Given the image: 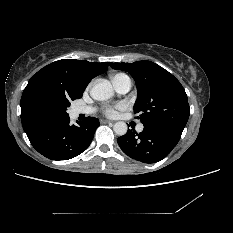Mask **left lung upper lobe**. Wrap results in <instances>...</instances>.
Segmentation results:
<instances>
[{"mask_svg":"<svg viewBox=\"0 0 233 233\" xmlns=\"http://www.w3.org/2000/svg\"><path fill=\"white\" fill-rule=\"evenodd\" d=\"M127 71L137 86L134 112L144 125L182 132L190 114L187 94L180 82L161 66L147 60L111 63Z\"/></svg>","mask_w":233,"mask_h":233,"instance_id":"1","label":"left lung upper lobe"}]
</instances>
